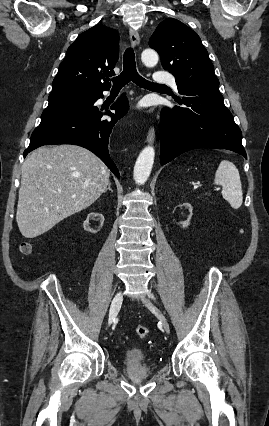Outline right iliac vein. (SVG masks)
Here are the masks:
<instances>
[{
    "mask_svg": "<svg viewBox=\"0 0 269 426\" xmlns=\"http://www.w3.org/2000/svg\"><path fill=\"white\" fill-rule=\"evenodd\" d=\"M122 300H123V294H122V292H118L115 295V297H114V299L111 303V306H110L109 319H108L109 324H111L112 321L114 320V318L117 316L119 309L121 307V304H122Z\"/></svg>",
    "mask_w": 269,
    "mask_h": 426,
    "instance_id": "63e3f726",
    "label": "right iliac vein"
}]
</instances>
